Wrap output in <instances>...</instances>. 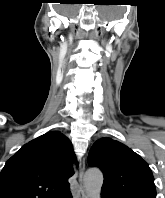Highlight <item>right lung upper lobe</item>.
Returning <instances> with one entry per match:
<instances>
[{
    "mask_svg": "<svg viewBox=\"0 0 165 198\" xmlns=\"http://www.w3.org/2000/svg\"><path fill=\"white\" fill-rule=\"evenodd\" d=\"M76 162L73 146L59 131L19 149L0 173V198H67Z\"/></svg>",
    "mask_w": 165,
    "mask_h": 198,
    "instance_id": "obj_1",
    "label": "right lung upper lobe"
}]
</instances>
